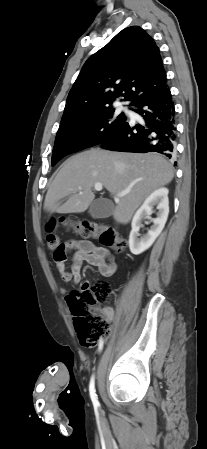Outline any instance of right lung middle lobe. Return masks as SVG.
I'll use <instances>...</instances> for the list:
<instances>
[{
  "mask_svg": "<svg viewBox=\"0 0 207 449\" xmlns=\"http://www.w3.org/2000/svg\"><path fill=\"white\" fill-rule=\"evenodd\" d=\"M123 114L114 116L111 107L61 120L52 152V166L66 155L98 145L124 123Z\"/></svg>",
  "mask_w": 207,
  "mask_h": 449,
  "instance_id": "right-lung-middle-lobe-1",
  "label": "right lung middle lobe"
}]
</instances>
